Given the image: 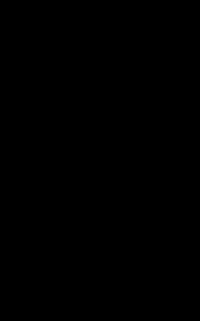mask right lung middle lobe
Segmentation results:
<instances>
[{"label": "right lung middle lobe", "instance_id": "obj_1", "mask_svg": "<svg viewBox=\"0 0 200 321\" xmlns=\"http://www.w3.org/2000/svg\"><path fill=\"white\" fill-rule=\"evenodd\" d=\"M71 160V157L62 154L53 146L33 143L23 150L17 163V172L59 183L68 180L66 170Z\"/></svg>", "mask_w": 200, "mask_h": 321}]
</instances>
